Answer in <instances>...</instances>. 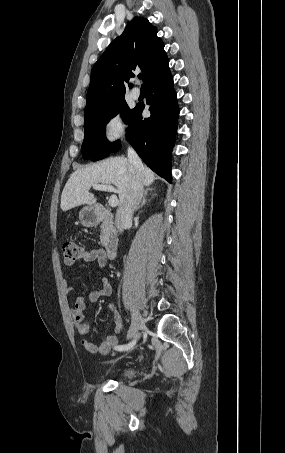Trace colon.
Instances as JSON below:
<instances>
[{"label": "colon", "mask_w": 285, "mask_h": 453, "mask_svg": "<svg viewBox=\"0 0 285 453\" xmlns=\"http://www.w3.org/2000/svg\"><path fill=\"white\" fill-rule=\"evenodd\" d=\"M64 260L71 264L81 258L83 249L82 247L73 240H67L62 246Z\"/></svg>", "instance_id": "obj_1"}]
</instances>
